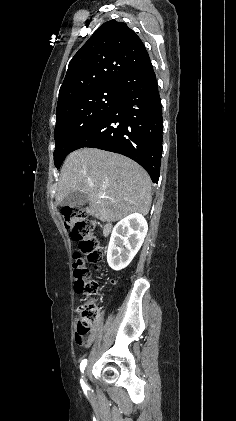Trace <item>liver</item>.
Instances as JSON below:
<instances>
[{
    "mask_svg": "<svg viewBox=\"0 0 236 421\" xmlns=\"http://www.w3.org/2000/svg\"><path fill=\"white\" fill-rule=\"evenodd\" d=\"M89 184L95 186L92 188ZM74 190L86 192L91 215L103 223L120 221L132 213L148 215L150 211L149 174L140 164L117 152L99 148H78L70 152L62 166L56 204Z\"/></svg>",
    "mask_w": 236,
    "mask_h": 421,
    "instance_id": "liver-1",
    "label": "liver"
}]
</instances>
